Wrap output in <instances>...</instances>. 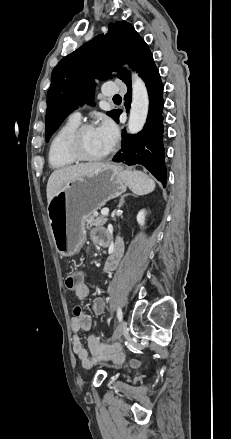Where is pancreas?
<instances>
[{"instance_id":"cf45deb5","label":"pancreas","mask_w":231,"mask_h":439,"mask_svg":"<svg viewBox=\"0 0 231 439\" xmlns=\"http://www.w3.org/2000/svg\"><path fill=\"white\" fill-rule=\"evenodd\" d=\"M108 219L104 216L97 217L96 214H93L86 218L87 228L103 226L106 224Z\"/></svg>"}]
</instances>
